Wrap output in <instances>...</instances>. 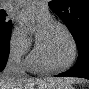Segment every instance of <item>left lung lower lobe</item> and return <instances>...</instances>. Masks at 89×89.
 I'll use <instances>...</instances> for the list:
<instances>
[{
    "label": "left lung lower lobe",
    "instance_id": "0a47b994",
    "mask_svg": "<svg viewBox=\"0 0 89 89\" xmlns=\"http://www.w3.org/2000/svg\"><path fill=\"white\" fill-rule=\"evenodd\" d=\"M77 47L79 56L76 64L70 70L58 76L83 77L89 79V35H85Z\"/></svg>",
    "mask_w": 89,
    "mask_h": 89
}]
</instances>
